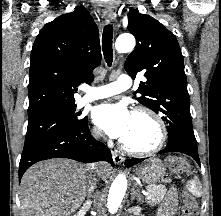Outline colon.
<instances>
[{
	"instance_id": "1",
	"label": "colon",
	"mask_w": 221,
	"mask_h": 216,
	"mask_svg": "<svg viewBox=\"0 0 221 216\" xmlns=\"http://www.w3.org/2000/svg\"><path fill=\"white\" fill-rule=\"evenodd\" d=\"M167 164L168 167L174 172H180L186 168V163L179 157L168 159ZM181 199L183 203L182 216H197V205L193 196L189 192L183 191L181 194Z\"/></svg>"
}]
</instances>
